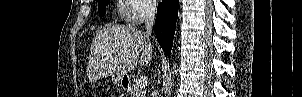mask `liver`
<instances>
[{"label": "liver", "instance_id": "1", "mask_svg": "<svg viewBox=\"0 0 302 97\" xmlns=\"http://www.w3.org/2000/svg\"><path fill=\"white\" fill-rule=\"evenodd\" d=\"M150 34L131 26L100 30L91 45L88 66L91 77L127 74L152 59Z\"/></svg>", "mask_w": 302, "mask_h": 97}]
</instances>
